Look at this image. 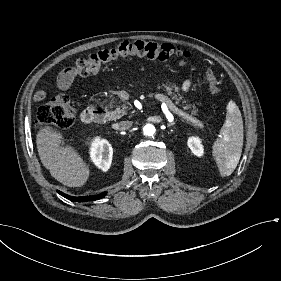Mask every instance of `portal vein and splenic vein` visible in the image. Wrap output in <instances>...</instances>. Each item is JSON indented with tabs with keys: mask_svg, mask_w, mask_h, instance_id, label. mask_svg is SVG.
Listing matches in <instances>:
<instances>
[{
	"mask_svg": "<svg viewBox=\"0 0 281 281\" xmlns=\"http://www.w3.org/2000/svg\"><path fill=\"white\" fill-rule=\"evenodd\" d=\"M152 98H153L154 101H159L160 98H161L163 105L169 106L174 113H176L180 117H183V119L186 122L192 123L193 127L202 128V130L207 131V126L203 127V124L201 122L195 120L194 118H192L189 113H186L183 110H180L178 107L175 106V104H172L171 99H168L165 96H162L161 94H153V95L147 94V95L143 96L144 100L152 99Z\"/></svg>",
	"mask_w": 281,
	"mask_h": 281,
	"instance_id": "portal-vein-and-splenic-vein-1",
	"label": "portal vein and splenic vein"
}]
</instances>
